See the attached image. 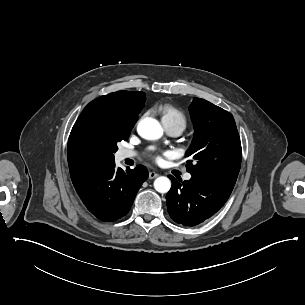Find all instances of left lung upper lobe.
I'll return each mask as SVG.
<instances>
[{
    "label": "left lung upper lobe",
    "mask_w": 305,
    "mask_h": 305,
    "mask_svg": "<svg viewBox=\"0 0 305 305\" xmlns=\"http://www.w3.org/2000/svg\"><path fill=\"white\" fill-rule=\"evenodd\" d=\"M189 111L195 133L186 152L192 159L187 171L194 177L235 184L242 149L232 114L200 98H194Z\"/></svg>",
    "instance_id": "obj_1"
}]
</instances>
